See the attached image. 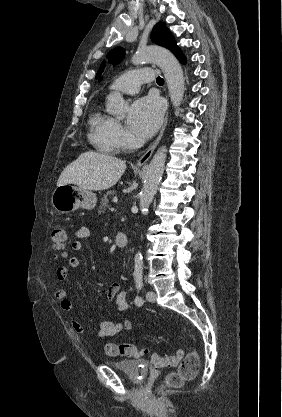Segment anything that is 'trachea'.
<instances>
[{"mask_svg": "<svg viewBox=\"0 0 282 417\" xmlns=\"http://www.w3.org/2000/svg\"><path fill=\"white\" fill-rule=\"evenodd\" d=\"M156 83H157L158 85H163V84H164V79H163V78H161V77H157V79H156Z\"/></svg>", "mask_w": 282, "mask_h": 417, "instance_id": "obj_1", "label": "trachea"}]
</instances>
